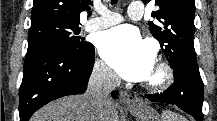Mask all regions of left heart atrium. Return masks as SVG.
Instances as JSON below:
<instances>
[{"instance_id": "left-heart-atrium-1", "label": "left heart atrium", "mask_w": 217, "mask_h": 121, "mask_svg": "<svg viewBox=\"0 0 217 121\" xmlns=\"http://www.w3.org/2000/svg\"><path fill=\"white\" fill-rule=\"evenodd\" d=\"M99 51L107 64L126 80L147 79L154 68V51L133 28L120 26L102 34Z\"/></svg>"}]
</instances>
